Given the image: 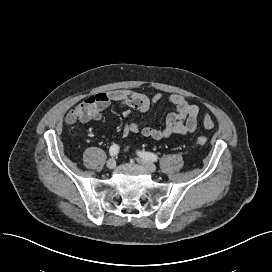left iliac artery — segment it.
<instances>
[{"label":"left iliac artery","mask_w":272,"mask_h":272,"mask_svg":"<svg viewBox=\"0 0 272 272\" xmlns=\"http://www.w3.org/2000/svg\"><path fill=\"white\" fill-rule=\"evenodd\" d=\"M139 155H140V157H142L146 160L152 161V162H155L158 159V156L156 154L150 153V152H145V151L139 152Z\"/></svg>","instance_id":"left-iliac-artery-1"}]
</instances>
